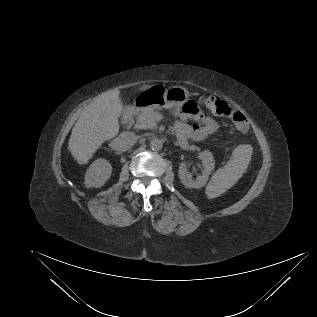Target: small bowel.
Returning <instances> with one entry per match:
<instances>
[{"label": "small bowel", "instance_id": "small-bowel-1", "mask_svg": "<svg viewBox=\"0 0 317 317\" xmlns=\"http://www.w3.org/2000/svg\"><path fill=\"white\" fill-rule=\"evenodd\" d=\"M188 114L179 113V118L174 122L173 130L180 141L194 140L200 141L213 134L217 128V123L208 116H200V123H190ZM248 126L239 129L242 132L247 131Z\"/></svg>", "mask_w": 317, "mask_h": 317}]
</instances>
